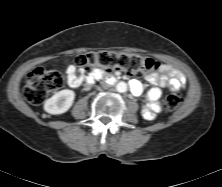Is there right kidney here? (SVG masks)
I'll use <instances>...</instances> for the list:
<instances>
[{
	"label": "right kidney",
	"mask_w": 222,
	"mask_h": 187,
	"mask_svg": "<svg viewBox=\"0 0 222 187\" xmlns=\"http://www.w3.org/2000/svg\"><path fill=\"white\" fill-rule=\"evenodd\" d=\"M74 99V91L69 89L61 90L45 101L44 110L53 115L65 113L72 106Z\"/></svg>",
	"instance_id": "ca27d5eb"
}]
</instances>
